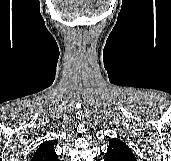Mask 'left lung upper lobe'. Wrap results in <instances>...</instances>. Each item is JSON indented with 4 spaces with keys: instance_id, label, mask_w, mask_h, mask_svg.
Listing matches in <instances>:
<instances>
[{
    "instance_id": "5c2ea615",
    "label": "left lung upper lobe",
    "mask_w": 171,
    "mask_h": 161,
    "mask_svg": "<svg viewBox=\"0 0 171 161\" xmlns=\"http://www.w3.org/2000/svg\"><path fill=\"white\" fill-rule=\"evenodd\" d=\"M105 161H136L132 150L118 138L109 140Z\"/></svg>"
}]
</instances>
